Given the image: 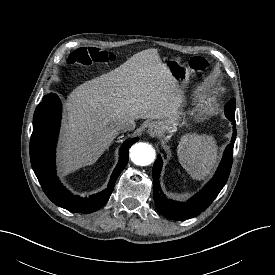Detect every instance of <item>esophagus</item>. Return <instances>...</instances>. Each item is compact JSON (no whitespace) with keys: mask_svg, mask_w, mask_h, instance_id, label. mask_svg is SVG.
<instances>
[{"mask_svg":"<svg viewBox=\"0 0 275 275\" xmlns=\"http://www.w3.org/2000/svg\"><path fill=\"white\" fill-rule=\"evenodd\" d=\"M160 127L157 123H151L148 127V134L151 137H156L160 134Z\"/></svg>","mask_w":275,"mask_h":275,"instance_id":"obj_1","label":"esophagus"}]
</instances>
